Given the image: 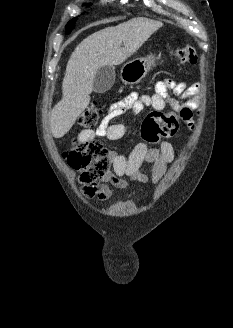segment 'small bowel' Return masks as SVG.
Segmentation results:
<instances>
[{"mask_svg": "<svg viewBox=\"0 0 233 328\" xmlns=\"http://www.w3.org/2000/svg\"><path fill=\"white\" fill-rule=\"evenodd\" d=\"M199 84L188 86L184 82H175L172 79L159 81L155 85V91L150 95H140L133 92L122 100L113 103L107 115L103 118L96 130H83L79 133V141H91L96 136L104 137L109 141H115L123 137L126 127L122 123H112V121L127 111L131 110L137 114L145 107H152L156 111H162L167 106L170 107L178 117L189 127H194V112L198 107ZM169 90L185 102L181 103L169 95ZM174 159V150L167 141H159L156 147H151L147 143H139L128 155L110 153V160L113 163V172L108 173L104 178V183L95 190L84 189L83 194L87 198H95L99 201L107 200L111 195L110 186L124 188L128 181L147 183L149 177L141 170L143 164H152L153 183H158L165 175L168 165Z\"/></svg>", "mask_w": 233, "mask_h": 328, "instance_id": "small-bowel-1", "label": "small bowel"}]
</instances>
